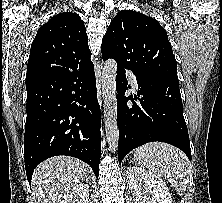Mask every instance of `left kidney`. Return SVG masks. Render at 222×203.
<instances>
[{"label": "left kidney", "instance_id": "5707ae66", "mask_svg": "<svg viewBox=\"0 0 222 203\" xmlns=\"http://www.w3.org/2000/svg\"><path fill=\"white\" fill-rule=\"evenodd\" d=\"M126 176L135 203H172L165 182L153 173L130 166Z\"/></svg>", "mask_w": 222, "mask_h": 203}]
</instances>
